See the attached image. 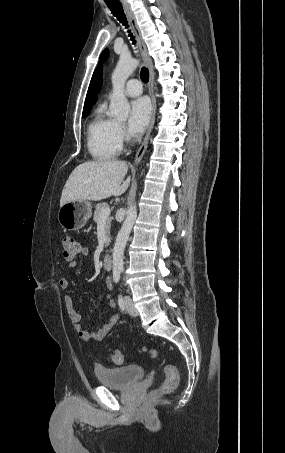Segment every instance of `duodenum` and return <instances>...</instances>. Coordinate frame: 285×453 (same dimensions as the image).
<instances>
[{"label": "duodenum", "instance_id": "1", "mask_svg": "<svg viewBox=\"0 0 285 453\" xmlns=\"http://www.w3.org/2000/svg\"><path fill=\"white\" fill-rule=\"evenodd\" d=\"M103 265L106 269H111L112 267V257L110 254H105L102 258Z\"/></svg>", "mask_w": 285, "mask_h": 453}]
</instances>
